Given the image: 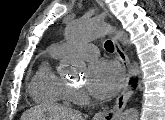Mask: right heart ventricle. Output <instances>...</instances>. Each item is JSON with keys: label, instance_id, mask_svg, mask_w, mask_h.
<instances>
[{"label": "right heart ventricle", "instance_id": "right-heart-ventricle-1", "mask_svg": "<svg viewBox=\"0 0 165 120\" xmlns=\"http://www.w3.org/2000/svg\"><path fill=\"white\" fill-rule=\"evenodd\" d=\"M63 56L56 47H52L40 62L30 83V94L38 102L66 103L72 99V87L57 73L55 63Z\"/></svg>", "mask_w": 165, "mask_h": 120}]
</instances>
